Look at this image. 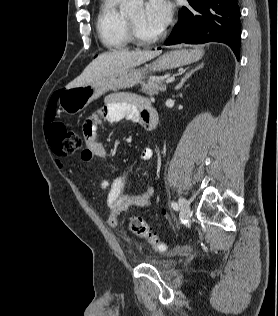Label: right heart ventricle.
Returning a JSON list of instances; mask_svg holds the SVG:
<instances>
[{"label":"right heart ventricle","instance_id":"right-heart-ventricle-1","mask_svg":"<svg viewBox=\"0 0 278 316\" xmlns=\"http://www.w3.org/2000/svg\"><path fill=\"white\" fill-rule=\"evenodd\" d=\"M124 0H101L96 19L101 43L110 50L129 46L131 39L126 25V16L120 7Z\"/></svg>","mask_w":278,"mask_h":316}]
</instances>
